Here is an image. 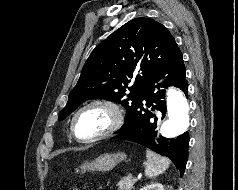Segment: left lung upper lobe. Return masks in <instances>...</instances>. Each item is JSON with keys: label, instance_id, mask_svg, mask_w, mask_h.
I'll return each mask as SVG.
<instances>
[{"label": "left lung upper lobe", "instance_id": "obj_1", "mask_svg": "<svg viewBox=\"0 0 238 190\" xmlns=\"http://www.w3.org/2000/svg\"><path fill=\"white\" fill-rule=\"evenodd\" d=\"M178 51L161 23L142 17L127 22L92 51L59 120L86 100L106 99L126 108V121L149 79Z\"/></svg>", "mask_w": 238, "mask_h": 190}]
</instances>
